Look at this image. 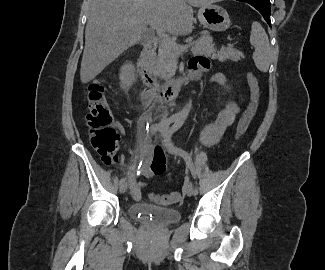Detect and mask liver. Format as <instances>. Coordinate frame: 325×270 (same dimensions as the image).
Returning a JSON list of instances; mask_svg holds the SVG:
<instances>
[{"mask_svg":"<svg viewBox=\"0 0 325 270\" xmlns=\"http://www.w3.org/2000/svg\"><path fill=\"white\" fill-rule=\"evenodd\" d=\"M213 0H89L80 79L88 83L129 47L139 43L153 22L164 32L187 35L192 6Z\"/></svg>","mask_w":325,"mask_h":270,"instance_id":"liver-1","label":"liver"}]
</instances>
